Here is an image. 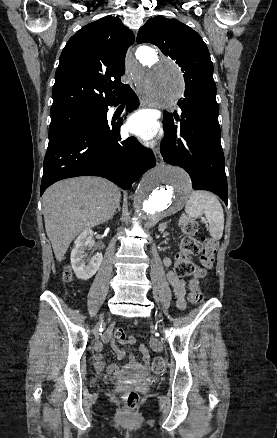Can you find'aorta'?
Instances as JSON below:
<instances>
[{
  "label": "aorta",
  "instance_id": "1",
  "mask_svg": "<svg viewBox=\"0 0 277 438\" xmlns=\"http://www.w3.org/2000/svg\"><path fill=\"white\" fill-rule=\"evenodd\" d=\"M136 57L139 65L133 75L143 97L155 107L173 105L184 90L182 74L176 63L146 46L138 48ZM190 191L191 181L183 169L157 166L143 176L136 189L135 220L153 226L162 218L180 211Z\"/></svg>",
  "mask_w": 277,
  "mask_h": 438
}]
</instances>
